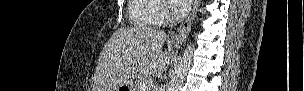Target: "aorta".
<instances>
[{
	"label": "aorta",
	"mask_w": 304,
	"mask_h": 91,
	"mask_svg": "<svg viewBox=\"0 0 304 91\" xmlns=\"http://www.w3.org/2000/svg\"><path fill=\"white\" fill-rule=\"evenodd\" d=\"M194 50V44L192 43L186 47L183 56L178 62V66L167 86V91H178L192 64Z\"/></svg>",
	"instance_id": "1"
}]
</instances>
